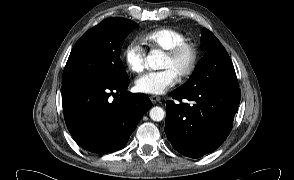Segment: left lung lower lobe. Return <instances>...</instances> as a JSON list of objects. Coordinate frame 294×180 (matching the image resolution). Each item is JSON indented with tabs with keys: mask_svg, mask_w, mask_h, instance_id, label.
<instances>
[{
	"mask_svg": "<svg viewBox=\"0 0 294 180\" xmlns=\"http://www.w3.org/2000/svg\"><path fill=\"white\" fill-rule=\"evenodd\" d=\"M172 97L180 103H166V136L179 153L198 158L217 149L229 135L241 91L232 87L177 88ZM182 99L191 104L182 103Z\"/></svg>",
	"mask_w": 294,
	"mask_h": 180,
	"instance_id": "left-lung-lower-lobe-1",
	"label": "left lung lower lobe"
}]
</instances>
